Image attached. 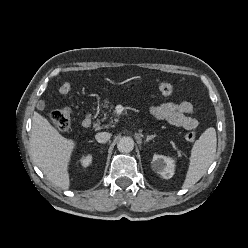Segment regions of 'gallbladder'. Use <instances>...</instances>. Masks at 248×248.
Returning a JSON list of instances; mask_svg holds the SVG:
<instances>
[{
  "label": "gallbladder",
  "mask_w": 248,
  "mask_h": 248,
  "mask_svg": "<svg viewBox=\"0 0 248 248\" xmlns=\"http://www.w3.org/2000/svg\"><path fill=\"white\" fill-rule=\"evenodd\" d=\"M45 108V103L43 101H38L37 103V109L38 110H43Z\"/></svg>",
  "instance_id": "1"
}]
</instances>
